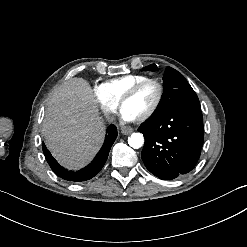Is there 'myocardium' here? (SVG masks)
Wrapping results in <instances>:
<instances>
[{"instance_id": "myocardium-1", "label": "myocardium", "mask_w": 247, "mask_h": 247, "mask_svg": "<svg viewBox=\"0 0 247 247\" xmlns=\"http://www.w3.org/2000/svg\"><path fill=\"white\" fill-rule=\"evenodd\" d=\"M149 83L156 85V87L158 89V96H157V100H156V103L153 106V108L147 114H145L144 116L141 117L140 121H142V122L150 120L151 118H153L162 105L165 89H164L163 83L159 79H157V78H145V79H143L142 81L137 83L134 87H132V89L129 92H127L119 100V106L122 107L127 101L132 100L144 85L149 84Z\"/></svg>"}]
</instances>
